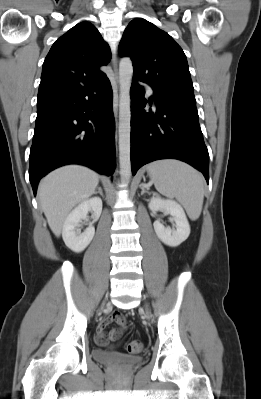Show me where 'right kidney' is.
I'll list each match as a JSON object with an SVG mask.
<instances>
[{
  "instance_id": "right-kidney-1",
  "label": "right kidney",
  "mask_w": 261,
  "mask_h": 399,
  "mask_svg": "<svg viewBox=\"0 0 261 399\" xmlns=\"http://www.w3.org/2000/svg\"><path fill=\"white\" fill-rule=\"evenodd\" d=\"M89 211L93 212V222L97 221L102 212L101 198L93 197L84 200L70 212L64 221L62 237L66 246L73 252H82L94 237L95 228L92 224L83 233L77 230L81 220L87 217Z\"/></svg>"
}]
</instances>
